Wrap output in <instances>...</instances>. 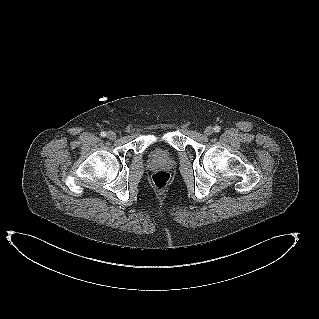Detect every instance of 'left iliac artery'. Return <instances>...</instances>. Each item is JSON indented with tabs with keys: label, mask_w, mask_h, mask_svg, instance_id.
<instances>
[{
	"label": "left iliac artery",
	"mask_w": 319,
	"mask_h": 319,
	"mask_svg": "<svg viewBox=\"0 0 319 319\" xmlns=\"http://www.w3.org/2000/svg\"><path fill=\"white\" fill-rule=\"evenodd\" d=\"M220 130H221L220 126H215V127H214V131H215V132H219Z\"/></svg>",
	"instance_id": "44dca946"
}]
</instances>
